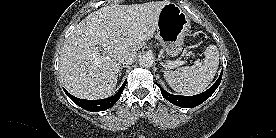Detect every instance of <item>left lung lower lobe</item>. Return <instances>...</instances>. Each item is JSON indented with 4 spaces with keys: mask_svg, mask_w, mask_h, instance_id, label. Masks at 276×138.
<instances>
[{
    "mask_svg": "<svg viewBox=\"0 0 276 138\" xmlns=\"http://www.w3.org/2000/svg\"><path fill=\"white\" fill-rule=\"evenodd\" d=\"M222 74L223 72H221L217 81L208 90L194 96L173 95L166 92L159 84L157 85L160 88L163 97L169 102H171L172 104L182 108H192L206 101L214 93V91L217 89V87L221 82Z\"/></svg>",
    "mask_w": 276,
    "mask_h": 138,
    "instance_id": "1",
    "label": "left lung lower lobe"
}]
</instances>
